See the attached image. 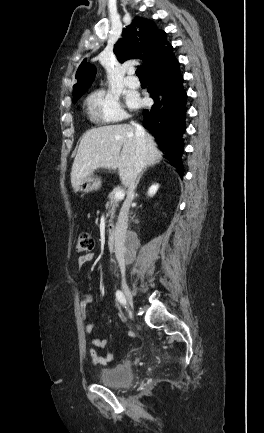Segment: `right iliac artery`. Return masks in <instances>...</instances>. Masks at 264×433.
<instances>
[{"label": "right iliac artery", "instance_id": "obj_1", "mask_svg": "<svg viewBox=\"0 0 264 433\" xmlns=\"http://www.w3.org/2000/svg\"><path fill=\"white\" fill-rule=\"evenodd\" d=\"M116 298H117V300L122 304V305H126V299H125V296H124V294L121 292V291H117L116 292Z\"/></svg>", "mask_w": 264, "mask_h": 433}]
</instances>
